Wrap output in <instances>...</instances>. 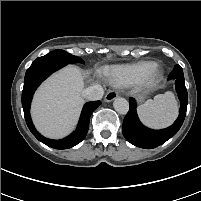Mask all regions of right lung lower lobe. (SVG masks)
Here are the masks:
<instances>
[{"label": "right lung lower lobe", "mask_w": 201, "mask_h": 201, "mask_svg": "<svg viewBox=\"0 0 201 201\" xmlns=\"http://www.w3.org/2000/svg\"><path fill=\"white\" fill-rule=\"evenodd\" d=\"M67 64H69V61L61 55L48 53L45 56L37 58L26 71L22 92V106L29 130L39 141L55 149H68L80 143L88 132L91 114L101 104L100 101L86 103L76 130L64 139H48L37 132L30 117V104L33 94L43 80Z\"/></svg>", "instance_id": "obj_1"}]
</instances>
